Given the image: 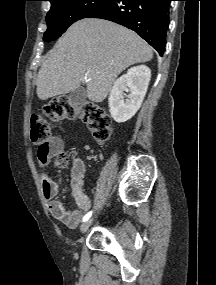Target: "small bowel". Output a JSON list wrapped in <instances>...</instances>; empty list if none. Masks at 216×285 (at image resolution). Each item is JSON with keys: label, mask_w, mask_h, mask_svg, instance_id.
Instances as JSON below:
<instances>
[{"label": "small bowel", "mask_w": 216, "mask_h": 285, "mask_svg": "<svg viewBox=\"0 0 216 285\" xmlns=\"http://www.w3.org/2000/svg\"><path fill=\"white\" fill-rule=\"evenodd\" d=\"M64 151V140L61 137H53L49 141L46 149H38V159L42 165L61 154ZM85 174V164L81 159H75L71 167V190L73 198L77 204V209L69 211L64 203L55 199L59 192V184L49 178L47 175H42V191L46 200L49 202V212L53 218L61 221L70 228H76L82 218V214L89 210L91 201L88 195L83 190Z\"/></svg>", "instance_id": "small-bowel-1"}]
</instances>
